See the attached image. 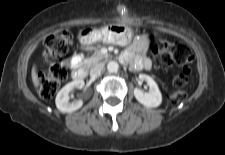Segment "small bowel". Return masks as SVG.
I'll return each instance as SVG.
<instances>
[{
    "label": "small bowel",
    "mask_w": 225,
    "mask_h": 155,
    "mask_svg": "<svg viewBox=\"0 0 225 155\" xmlns=\"http://www.w3.org/2000/svg\"><path fill=\"white\" fill-rule=\"evenodd\" d=\"M148 42L144 38L136 39L122 54V59L129 62L136 69H149L150 60L146 57ZM81 61V56L77 55L71 59V64L76 65Z\"/></svg>",
    "instance_id": "small-bowel-1"
}]
</instances>
